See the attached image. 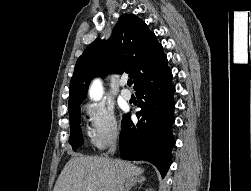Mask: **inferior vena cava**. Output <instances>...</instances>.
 Segmentation results:
<instances>
[{
    "mask_svg": "<svg viewBox=\"0 0 251 191\" xmlns=\"http://www.w3.org/2000/svg\"><path fill=\"white\" fill-rule=\"evenodd\" d=\"M117 137H118V131H116V133L111 141V145H110V149H109L108 153H114V151L116 149ZM106 157H108V155H106ZM117 191H123V181H122L121 177H119V189H117Z\"/></svg>",
    "mask_w": 251,
    "mask_h": 191,
    "instance_id": "obj_1",
    "label": "inferior vena cava"
}]
</instances>
